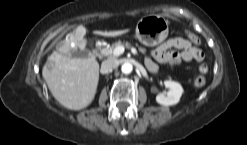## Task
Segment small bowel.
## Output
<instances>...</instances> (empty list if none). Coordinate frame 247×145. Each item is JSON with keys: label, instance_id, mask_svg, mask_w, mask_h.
<instances>
[{"label": "small bowel", "instance_id": "small-bowel-1", "mask_svg": "<svg viewBox=\"0 0 247 145\" xmlns=\"http://www.w3.org/2000/svg\"><path fill=\"white\" fill-rule=\"evenodd\" d=\"M199 44L200 39L196 35L189 39L174 37L161 43L151 52V56L159 63L202 62L205 55ZM145 63L149 70H157V65L150 58L146 59Z\"/></svg>", "mask_w": 247, "mask_h": 145}]
</instances>
